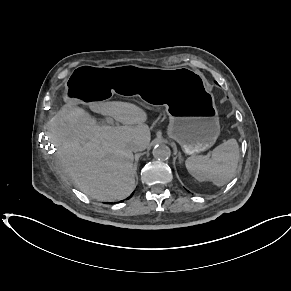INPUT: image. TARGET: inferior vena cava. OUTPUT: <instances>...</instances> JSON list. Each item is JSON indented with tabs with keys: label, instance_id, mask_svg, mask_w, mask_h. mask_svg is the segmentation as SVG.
I'll return each mask as SVG.
<instances>
[{
	"label": "inferior vena cava",
	"instance_id": "obj_1",
	"mask_svg": "<svg viewBox=\"0 0 291 291\" xmlns=\"http://www.w3.org/2000/svg\"><path fill=\"white\" fill-rule=\"evenodd\" d=\"M129 150H130L131 152H137V151L139 150V147H138L136 144H131V145L129 146Z\"/></svg>",
	"mask_w": 291,
	"mask_h": 291
}]
</instances>
